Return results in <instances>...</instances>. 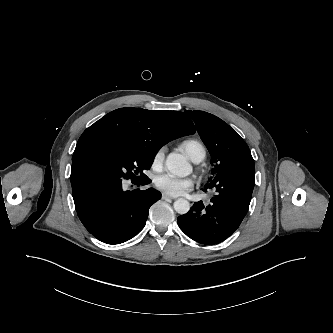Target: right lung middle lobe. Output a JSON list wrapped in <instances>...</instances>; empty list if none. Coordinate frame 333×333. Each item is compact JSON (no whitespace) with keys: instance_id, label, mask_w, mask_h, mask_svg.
Listing matches in <instances>:
<instances>
[{"instance_id":"obj_1","label":"right lung middle lobe","mask_w":333,"mask_h":333,"mask_svg":"<svg viewBox=\"0 0 333 333\" xmlns=\"http://www.w3.org/2000/svg\"><path fill=\"white\" fill-rule=\"evenodd\" d=\"M158 150L140 144L109 139L93 138L77 144L73 158H82L107 169L120 178L145 179Z\"/></svg>"}]
</instances>
